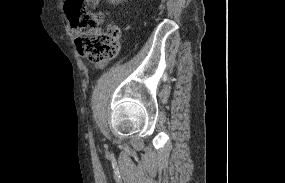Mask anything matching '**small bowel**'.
I'll return each mask as SVG.
<instances>
[{
  "instance_id": "obj_1",
  "label": "small bowel",
  "mask_w": 285,
  "mask_h": 183,
  "mask_svg": "<svg viewBox=\"0 0 285 183\" xmlns=\"http://www.w3.org/2000/svg\"><path fill=\"white\" fill-rule=\"evenodd\" d=\"M88 5L95 7L100 3V0H87ZM107 61L104 62H100L97 64L98 68H103L104 66H106Z\"/></svg>"
}]
</instances>
